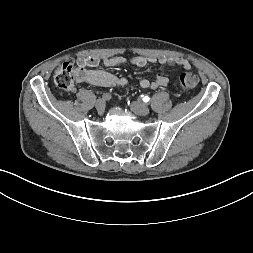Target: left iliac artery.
Instances as JSON below:
<instances>
[{
  "instance_id": "1",
  "label": "left iliac artery",
  "mask_w": 253,
  "mask_h": 253,
  "mask_svg": "<svg viewBox=\"0 0 253 253\" xmlns=\"http://www.w3.org/2000/svg\"><path fill=\"white\" fill-rule=\"evenodd\" d=\"M149 99H150V98H149L148 96H145V97L143 98V101H144V102H148Z\"/></svg>"
}]
</instances>
